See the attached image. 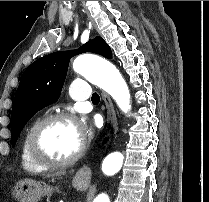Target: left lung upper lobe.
I'll return each instance as SVG.
<instances>
[{
  "instance_id": "obj_1",
  "label": "left lung upper lobe",
  "mask_w": 209,
  "mask_h": 202,
  "mask_svg": "<svg viewBox=\"0 0 209 202\" xmlns=\"http://www.w3.org/2000/svg\"><path fill=\"white\" fill-rule=\"evenodd\" d=\"M85 52H95L106 58H112L108 44L101 37H96L77 50L48 54L33 62L24 71L11 113L12 146L15 145L28 120L36 112L58 100L71 57Z\"/></svg>"
}]
</instances>
